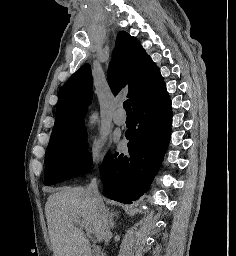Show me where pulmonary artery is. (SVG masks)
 <instances>
[{
  "mask_svg": "<svg viewBox=\"0 0 236 256\" xmlns=\"http://www.w3.org/2000/svg\"><path fill=\"white\" fill-rule=\"evenodd\" d=\"M114 123L118 126H122L126 123V120H121L118 117H114Z\"/></svg>",
  "mask_w": 236,
  "mask_h": 256,
  "instance_id": "e3ab8cb5",
  "label": "pulmonary artery"
}]
</instances>
